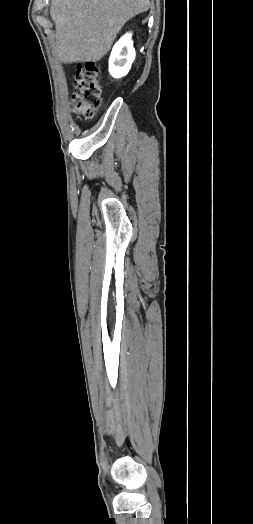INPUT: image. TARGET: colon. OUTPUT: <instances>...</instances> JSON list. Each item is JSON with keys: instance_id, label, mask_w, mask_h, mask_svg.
Here are the masks:
<instances>
[{"instance_id": "1", "label": "colon", "mask_w": 253, "mask_h": 524, "mask_svg": "<svg viewBox=\"0 0 253 524\" xmlns=\"http://www.w3.org/2000/svg\"><path fill=\"white\" fill-rule=\"evenodd\" d=\"M99 72L98 63L86 62L80 64L75 73L71 108L84 120L92 119L100 106Z\"/></svg>"}]
</instances>
